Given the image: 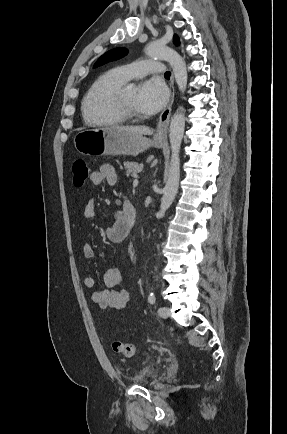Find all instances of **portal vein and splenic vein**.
Returning a JSON list of instances; mask_svg holds the SVG:
<instances>
[{
	"instance_id": "18ae733b",
	"label": "portal vein and splenic vein",
	"mask_w": 287,
	"mask_h": 434,
	"mask_svg": "<svg viewBox=\"0 0 287 434\" xmlns=\"http://www.w3.org/2000/svg\"><path fill=\"white\" fill-rule=\"evenodd\" d=\"M138 183H139V182H138V179H137V178H135V179H134V181H133V186H137V185H138Z\"/></svg>"
}]
</instances>
